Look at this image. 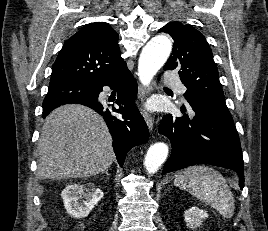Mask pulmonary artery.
<instances>
[{
	"label": "pulmonary artery",
	"instance_id": "pulmonary-artery-1",
	"mask_svg": "<svg viewBox=\"0 0 268 231\" xmlns=\"http://www.w3.org/2000/svg\"><path fill=\"white\" fill-rule=\"evenodd\" d=\"M165 79L169 82H172L176 79V75L174 72H167L165 75ZM174 86V89L177 93L183 94L186 91V87L181 83H171Z\"/></svg>",
	"mask_w": 268,
	"mask_h": 231
}]
</instances>
